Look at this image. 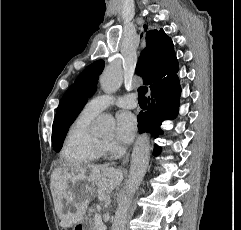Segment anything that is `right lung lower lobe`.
Here are the masks:
<instances>
[{
	"instance_id": "right-lung-lower-lobe-1",
	"label": "right lung lower lobe",
	"mask_w": 241,
	"mask_h": 230,
	"mask_svg": "<svg viewBox=\"0 0 241 230\" xmlns=\"http://www.w3.org/2000/svg\"><path fill=\"white\" fill-rule=\"evenodd\" d=\"M178 68L151 88V98L146 112L138 115L140 133L150 132L154 138L162 133L160 125L164 120L174 119L178 114L181 87L176 75ZM160 153V147L154 146L153 155Z\"/></svg>"
}]
</instances>
